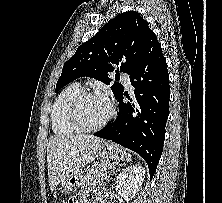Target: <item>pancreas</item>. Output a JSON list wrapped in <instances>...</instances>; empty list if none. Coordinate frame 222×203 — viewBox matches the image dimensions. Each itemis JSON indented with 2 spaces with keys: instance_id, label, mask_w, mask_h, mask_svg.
I'll return each instance as SVG.
<instances>
[{
  "instance_id": "obj_1",
  "label": "pancreas",
  "mask_w": 222,
  "mask_h": 203,
  "mask_svg": "<svg viewBox=\"0 0 222 203\" xmlns=\"http://www.w3.org/2000/svg\"><path fill=\"white\" fill-rule=\"evenodd\" d=\"M108 165L107 161H100L94 164L87 172L84 177V184L89 185L93 183H100L104 179H106V175L108 173L107 170L104 169L105 166Z\"/></svg>"
}]
</instances>
